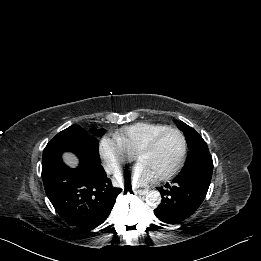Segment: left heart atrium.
Returning a JSON list of instances; mask_svg holds the SVG:
<instances>
[{
  "label": "left heart atrium",
  "instance_id": "1",
  "mask_svg": "<svg viewBox=\"0 0 261 261\" xmlns=\"http://www.w3.org/2000/svg\"><path fill=\"white\" fill-rule=\"evenodd\" d=\"M156 179V176L144 164L138 162L128 174L116 177L117 183L128 182L134 186H145Z\"/></svg>",
  "mask_w": 261,
  "mask_h": 261
}]
</instances>
